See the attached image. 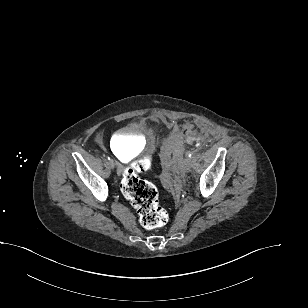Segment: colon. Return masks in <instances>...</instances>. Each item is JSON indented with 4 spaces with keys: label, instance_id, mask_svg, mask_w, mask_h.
I'll return each instance as SVG.
<instances>
[{
    "label": "colon",
    "instance_id": "5ec220e1",
    "mask_svg": "<svg viewBox=\"0 0 308 308\" xmlns=\"http://www.w3.org/2000/svg\"><path fill=\"white\" fill-rule=\"evenodd\" d=\"M149 168V158L133 163L123 173L121 190L137 210L141 225L146 229H156L165 225L168 214L159 205L156 187L139 176Z\"/></svg>",
    "mask_w": 308,
    "mask_h": 308
}]
</instances>
